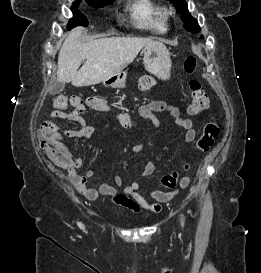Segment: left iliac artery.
I'll return each mask as SVG.
<instances>
[{
  "label": "left iliac artery",
  "mask_w": 261,
  "mask_h": 273,
  "mask_svg": "<svg viewBox=\"0 0 261 273\" xmlns=\"http://www.w3.org/2000/svg\"><path fill=\"white\" fill-rule=\"evenodd\" d=\"M182 226H184V221H183V218H182Z\"/></svg>",
  "instance_id": "left-iliac-artery-1"
}]
</instances>
